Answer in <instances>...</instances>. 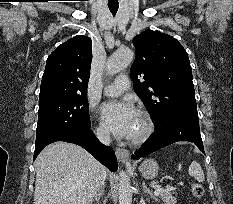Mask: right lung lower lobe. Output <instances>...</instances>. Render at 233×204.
<instances>
[{
	"mask_svg": "<svg viewBox=\"0 0 233 204\" xmlns=\"http://www.w3.org/2000/svg\"><path fill=\"white\" fill-rule=\"evenodd\" d=\"M56 141H64L77 144L86 149L91 155H93L100 163L105 165L110 171L117 170V160L115 153L111 147L101 144L94 136L90 128L78 129L61 133L52 138L36 143L34 160L38 154L50 143Z\"/></svg>",
	"mask_w": 233,
	"mask_h": 204,
	"instance_id": "1",
	"label": "right lung lower lobe"
}]
</instances>
